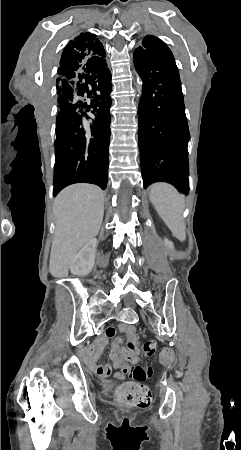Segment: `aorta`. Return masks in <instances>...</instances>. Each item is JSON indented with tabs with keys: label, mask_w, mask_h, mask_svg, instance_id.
Here are the masks:
<instances>
[{
	"label": "aorta",
	"mask_w": 241,
	"mask_h": 450,
	"mask_svg": "<svg viewBox=\"0 0 241 450\" xmlns=\"http://www.w3.org/2000/svg\"><path fill=\"white\" fill-rule=\"evenodd\" d=\"M138 86H137V90H138V92H139V94H141L142 93V83H140V81H139V78H138Z\"/></svg>",
	"instance_id": "762f6f07"
}]
</instances>
